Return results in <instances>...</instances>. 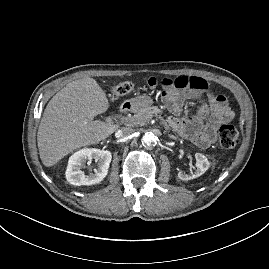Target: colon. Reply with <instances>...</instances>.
Instances as JSON below:
<instances>
[{
    "label": "colon",
    "mask_w": 269,
    "mask_h": 269,
    "mask_svg": "<svg viewBox=\"0 0 269 269\" xmlns=\"http://www.w3.org/2000/svg\"><path fill=\"white\" fill-rule=\"evenodd\" d=\"M133 91L134 84L130 81L120 82L110 87V95L113 98H119L122 96L129 95ZM218 138L222 148L232 149L238 143V132L234 126L224 124L219 129Z\"/></svg>",
    "instance_id": "5ec220e1"
}]
</instances>
